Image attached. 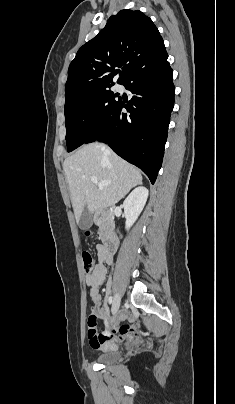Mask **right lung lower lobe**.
<instances>
[{
  "label": "right lung lower lobe",
  "mask_w": 235,
  "mask_h": 404,
  "mask_svg": "<svg viewBox=\"0 0 235 404\" xmlns=\"http://www.w3.org/2000/svg\"><path fill=\"white\" fill-rule=\"evenodd\" d=\"M166 56L130 75L122 85L132 94L121 100L84 143L101 141L139 167L154 184L161 168L174 106L173 71ZM126 108L129 114L122 113Z\"/></svg>",
  "instance_id": "obj_1"
}]
</instances>
